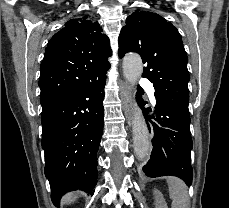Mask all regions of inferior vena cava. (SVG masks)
I'll return each instance as SVG.
<instances>
[{
    "instance_id": "obj_1",
    "label": "inferior vena cava",
    "mask_w": 229,
    "mask_h": 208,
    "mask_svg": "<svg viewBox=\"0 0 229 208\" xmlns=\"http://www.w3.org/2000/svg\"><path fill=\"white\" fill-rule=\"evenodd\" d=\"M133 122H134V118H133ZM133 128H134V132L136 134V132H140L138 126H136V124H133Z\"/></svg>"
}]
</instances>
